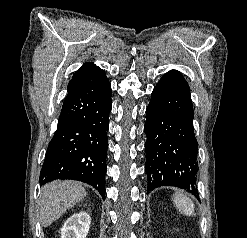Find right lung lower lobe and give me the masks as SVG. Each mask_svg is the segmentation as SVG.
I'll return each mask as SVG.
<instances>
[{
  "label": "right lung lower lobe",
  "mask_w": 247,
  "mask_h": 238,
  "mask_svg": "<svg viewBox=\"0 0 247 238\" xmlns=\"http://www.w3.org/2000/svg\"><path fill=\"white\" fill-rule=\"evenodd\" d=\"M111 107V84L99 67L68 91L43 163L41 185L56 179L78 180L105 198Z\"/></svg>",
  "instance_id": "98d812e1"
}]
</instances>
